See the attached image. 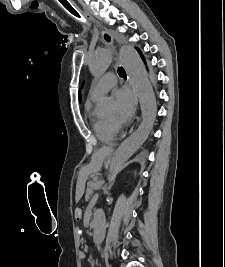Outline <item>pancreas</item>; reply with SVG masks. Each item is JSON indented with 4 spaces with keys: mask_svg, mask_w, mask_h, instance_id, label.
<instances>
[{
    "mask_svg": "<svg viewBox=\"0 0 225 267\" xmlns=\"http://www.w3.org/2000/svg\"><path fill=\"white\" fill-rule=\"evenodd\" d=\"M93 193V182H89L88 183V188L86 190V200H88L90 198V196L92 195Z\"/></svg>",
    "mask_w": 225,
    "mask_h": 267,
    "instance_id": "pancreas-1",
    "label": "pancreas"
}]
</instances>
